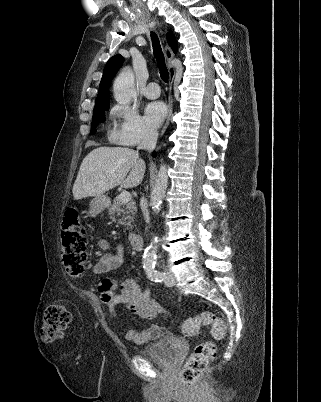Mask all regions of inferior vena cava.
Returning <instances> with one entry per match:
<instances>
[{
	"mask_svg": "<svg viewBox=\"0 0 321 402\" xmlns=\"http://www.w3.org/2000/svg\"><path fill=\"white\" fill-rule=\"evenodd\" d=\"M157 138H158V132L154 129H147L145 131V134L142 138V141L140 145L138 146L139 150H147L149 152L153 151L156 147L157 143ZM140 207L144 216V219L147 224L150 223V217H149V212L147 209V202L146 199L141 198L140 200Z\"/></svg>",
	"mask_w": 321,
	"mask_h": 402,
	"instance_id": "inferior-vena-cava-1",
	"label": "inferior vena cava"
}]
</instances>
